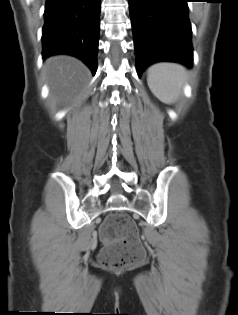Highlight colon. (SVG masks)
<instances>
[{
	"label": "colon",
	"mask_w": 238,
	"mask_h": 315,
	"mask_svg": "<svg viewBox=\"0 0 238 315\" xmlns=\"http://www.w3.org/2000/svg\"><path fill=\"white\" fill-rule=\"evenodd\" d=\"M105 247L99 255L100 262L110 268H125L141 263L145 251L138 230L125 213L115 212L106 217L100 228Z\"/></svg>",
	"instance_id": "5ec220e1"
}]
</instances>
